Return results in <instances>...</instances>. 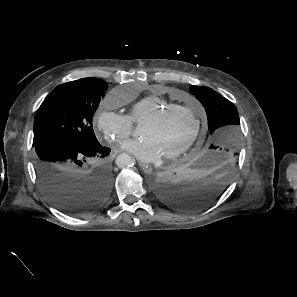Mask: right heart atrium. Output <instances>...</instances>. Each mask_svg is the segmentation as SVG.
I'll return each mask as SVG.
<instances>
[{"mask_svg":"<svg viewBox=\"0 0 297 297\" xmlns=\"http://www.w3.org/2000/svg\"><path fill=\"white\" fill-rule=\"evenodd\" d=\"M118 106L119 101L114 94H109L95 116L97 129L106 140L113 143H122L129 137L132 129L129 116L118 111Z\"/></svg>","mask_w":297,"mask_h":297,"instance_id":"1","label":"right heart atrium"}]
</instances>
